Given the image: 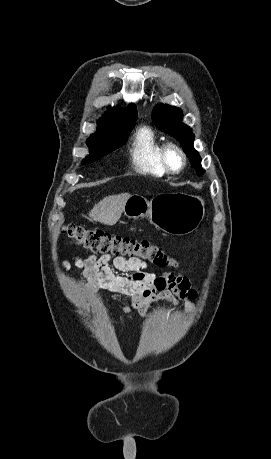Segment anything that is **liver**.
<instances>
[{
    "instance_id": "liver-1",
    "label": "liver",
    "mask_w": 271,
    "mask_h": 459,
    "mask_svg": "<svg viewBox=\"0 0 271 459\" xmlns=\"http://www.w3.org/2000/svg\"><path fill=\"white\" fill-rule=\"evenodd\" d=\"M130 194H119V196H108L95 204L93 210L89 212L91 222H101L105 226H114L120 220L124 206L129 200Z\"/></svg>"
}]
</instances>
